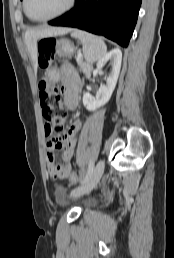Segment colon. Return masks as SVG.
Masks as SVG:
<instances>
[{"label": "colon", "mask_w": 174, "mask_h": 258, "mask_svg": "<svg viewBox=\"0 0 174 258\" xmlns=\"http://www.w3.org/2000/svg\"><path fill=\"white\" fill-rule=\"evenodd\" d=\"M38 52L40 66L43 68L48 67L54 58L55 40L51 38L42 39L38 43ZM39 89V98L44 119L57 137L64 138L66 133L64 124L67 117V109L60 101L58 90L48 89L46 82H41ZM68 179L70 182L76 183L79 181L80 176L75 172H71L68 175Z\"/></svg>", "instance_id": "5ec220e1"}]
</instances>
